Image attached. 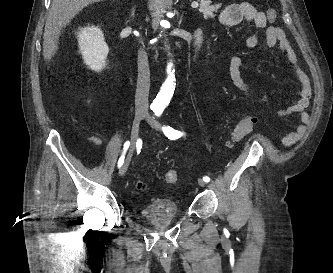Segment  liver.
<instances>
[{"instance_id": "6515ba94", "label": "liver", "mask_w": 333, "mask_h": 273, "mask_svg": "<svg viewBox=\"0 0 333 273\" xmlns=\"http://www.w3.org/2000/svg\"><path fill=\"white\" fill-rule=\"evenodd\" d=\"M101 0H53L46 21L43 41V55L46 61L56 54L61 30L88 5Z\"/></svg>"}]
</instances>
